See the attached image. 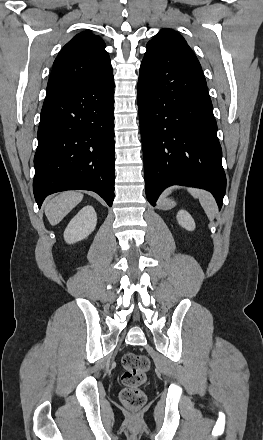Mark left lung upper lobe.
Returning <instances> with one entry per match:
<instances>
[{"label": "left lung upper lobe", "mask_w": 263, "mask_h": 440, "mask_svg": "<svg viewBox=\"0 0 263 440\" xmlns=\"http://www.w3.org/2000/svg\"><path fill=\"white\" fill-rule=\"evenodd\" d=\"M146 48L147 51L142 61L144 63L154 64L158 62L168 50H172L190 66L202 73L201 65L191 48L183 37L173 30L162 29L148 42Z\"/></svg>", "instance_id": "5c2ea615"}]
</instances>
